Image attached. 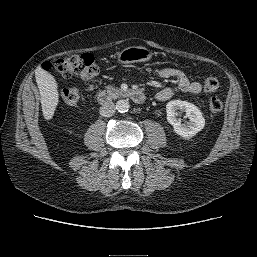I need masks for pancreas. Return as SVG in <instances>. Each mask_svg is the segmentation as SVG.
Segmentation results:
<instances>
[{"mask_svg": "<svg viewBox=\"0 0 257 257\" xmlns=\"http://www.w3.org/2000/svg\"><path fill=\"white\" fill-rule=\"evenodd\" d=\"M106 91L110 94V95H112V96H117V95H120L121 93H122V90L121 89H119V88H114L113 86H111V85H108V86H106Z\"/></svg>", "mask_w": 257, "mask_h": 257, "instance_id": "obj_1", "label": "pancreas"}]
</instances>
